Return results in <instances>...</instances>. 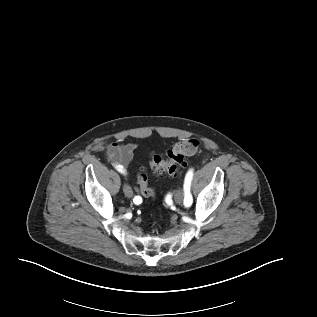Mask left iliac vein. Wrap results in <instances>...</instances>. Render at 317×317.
Returning <instances> with one entry per match:
<instances>
[{
    "label": "left iliac vein",
    "mask_w": 317,
    "mask_h": 317,
    "mask_svg": "<svg viewBox=\"0 0 317 317\" xmlns=\"http://www.w3.org/2000/svg\"><path fill=\"white\" fill-rule=\"evenodd\" d=\"M175 202L177 204H181L184 201V196L183 193L181 191H177L175 196H174Z\"/></svg>",
    "instance_id": "left-iliac-vein-1"
}]
</instances>
